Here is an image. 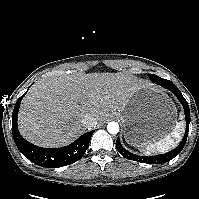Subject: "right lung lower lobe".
Returning <instances> with one entry per match:
<instances>
[{"label":"right lung lower lobe","instance_id":"right-lung-lower-lobe-1","mask_svg":"<svg viewBox=\"0 0 199 199\" xmlns=\"http://www.w3.org/2000/svg\"><path fill=\"white\" fill-rule=\"evenodd\" d=\"M24 95L17 100L12 114L13 138L22 154L36 165L48 168L66 166L79 160L87 150L94 131L82 135L72 144L62 148L50 149L33 145L20 135L17 128L19 105Z\"/></svg>","mask_w":199,"mask_h":199}]
</instances>
